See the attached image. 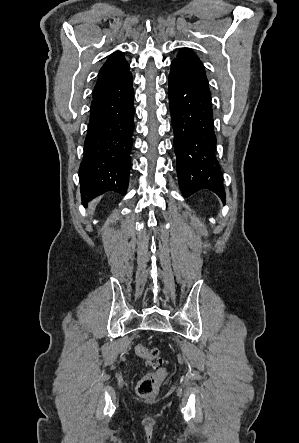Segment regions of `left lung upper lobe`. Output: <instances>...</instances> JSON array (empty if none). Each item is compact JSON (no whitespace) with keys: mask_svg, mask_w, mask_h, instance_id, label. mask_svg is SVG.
<instances>
[{"mask_svg":"<svg viewBox=\"0 0 299 443\" xmlns=\"http://www.w3.org/2000/svg\"><path fill=\"white\" fill-rule=\"evenodd\" d=\"M174 61L181 62L194 73L207 80L202 62L190 49L181 50Z\"/></svg>","mask_w":299,"mask_h":443,"instance_id":"left-lung-upper-lobe-1","label":"left lung upper lobe"}]
</instances>
